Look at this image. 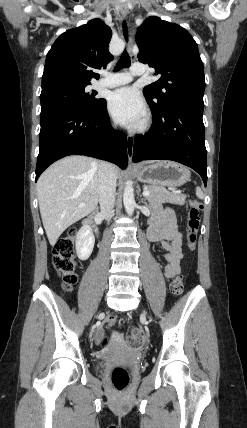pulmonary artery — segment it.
<instances>
[{
    "instance_id": "obj_1",
    "label": "pulmonary artery",
    "mask_w": 247,
    "mask_h": 428,
    "mask_svg": "<svg viewBox=\"0 0 247 428\" xmlns=\"http://www.w3.org/2000/svg\"><path fill=\"white\" fill-rule=\"evenodd\" d=\"M146 73V68L143 64L135 63L130 68L129 72H118L108 75L100 80L97 84L100 88H112L129 83L134 76H142Z\"/></svg>"
}]
</instances>
